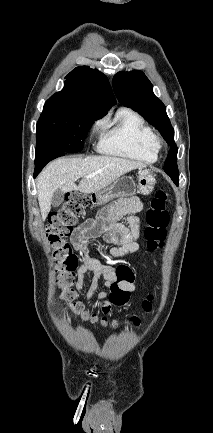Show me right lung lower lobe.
<instances>
[{
    "instance_id": "98d812e1",
    "label": "right lung lower lobe",
    "mask_w": 213,
    "mask_h": 433,
    "mask_svg": "<svg viewBox=\"0 0 213 433\" xmlns=\"http://www.w3.org/2000/svg\"><path fill=\"white\" fill-rule=\"evenodd\" d=\"M66 152L61 150H49L35 156V171L34 177H36L42 168L52 159L59 156H63Z\"/></svg>"
}]
</instances>
